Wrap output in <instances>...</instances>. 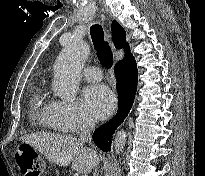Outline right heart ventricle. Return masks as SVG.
I'll return each mask as SVG.
<instances>
[{
  "label": "right heart ventricle",
  "mask_w": 205,
  "mask_h": 176,
  "mask_svg": "<svg viewBox=\"0 0 205 176\" xmlns=\"http://www.w3.org/2000/svg\"><path fill=\"white\" fill-rule=\"evenodd\" d=\"M53 102L47 98L43 89H38L32 98V107L34 117L45 123L50 130L58 131L60 125L53 115Z\"/></svg>",
  "instance_id": "e07e8e85"
}]
</instances>
